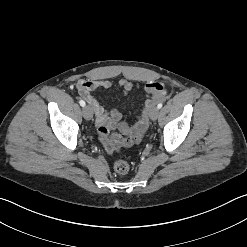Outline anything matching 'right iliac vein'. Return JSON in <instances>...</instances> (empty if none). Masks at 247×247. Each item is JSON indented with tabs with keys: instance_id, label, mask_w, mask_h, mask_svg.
<instances>
[{
	"instance_id": "obj_1",
	"label": "right iliac vein",
	"mask_w": 247,
	"mask_h": 247,
	"mask_svg": "<svg viewBox=\"0 0 247 247\" xmlns=\"http://www.w3.org/2000/svg\"><path fill=\"white\" fill-rule=\"evenodd\" d=\"M82 113H83V117H84L86 120H91V118H92V116H93V111H92V109H91L90 106H88V105L85 106V107L83 108Z\"/></svg>"
}]
</instances>
